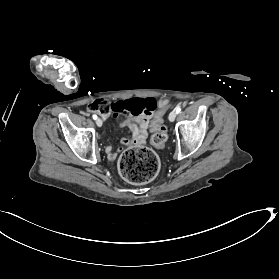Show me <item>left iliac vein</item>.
Masks as SVG:
<instances>
[{
    "label": "left iliac vein",
    "instance_id": "left-iliac-vein-1",
    "mask_svg": "<svg viewBox=\"0 0 279 279\" xmlns=\"http://www.w3.org/2000/svg\"><path fill=\"white\" fill-rule=\"evenodd\" d=\"M176 116H177V113L175 111H171L169 114V121L173 122L175 120Z\"/></svg>",
    "mask_w": 279,
    "mask_h": 279
}]
</instances>
